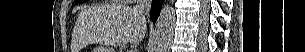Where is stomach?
<instances>
[{
	"mask_svg": "<svg viewBox=\"0 0 305 52\" xmlns=\"http://www.w3.org/2000/svg\"><path fill=\"white\" fill-rule=\"evenodd\" d=\"M93 52H113V51L103 48V47H97L93 50Z\"/></svg>",
	"mask_w": 305,
	"mask_h": 52,
	"instance_id": "obj_1",
	"label": "stomach"
}]
</instances>
